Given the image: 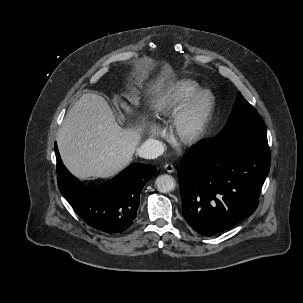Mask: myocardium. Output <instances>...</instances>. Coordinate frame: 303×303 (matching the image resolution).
Wrapping results in <instances>:
<instances>
[{
  "label": "myocardium",
  "instance_id": "obj_1",
  "mask_svg": "<svg viewBox=\"0 0 303 303\" xmlns=\"http://www.w3.org/2000/svg\"><path fill=\"white\" fill-rule=\"evenodd\" d=\"M216 99L208 89L199 90L174 116L172 129L183 144H194L203 136L214 113Z\"/></svg>",
  "mask_w": 303,
  "mask_h": 303
}]
</instances>
